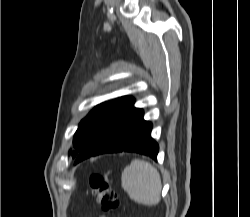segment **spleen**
Segmentation results:
<instances>
[{"instance_id":"spleen-1","label":"spleen","mask_w":250,"mask_h":217,"mask_svg":"<svg viewBox=\"0 0 250 217\" xmlns=\"http://www.w3.org/2000/svg\"><path fill=\"white\" fill-rule=\"evenodd\" d=\"M122 188L138 204L155 206L161 200V177L149 162L133 160L122 172Z\"/></svg>"}]
</instances>
